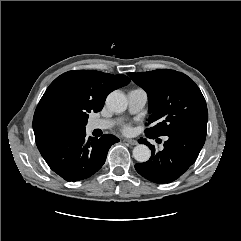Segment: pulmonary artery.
<instances>
[{"label":"pulmonary artery","mask_w":241,"mask_h":241,"mask_svg":"<svg viewBox=\"0 0 241 241\" xmlns=\"http://www.w3.org/2000/svg\"><path fill=\"white\" fill-rule=\"evenodd\" d=\"M147 98L146 91L141 88L130 90L127 94L129 112L135 114L141 111L147 102ZM114 124L115 120L113 119H94L89 122L88 128L90 130H106Z\"/></svg>","instance_id":"pulmonary-artery-1"}]
</instances>
